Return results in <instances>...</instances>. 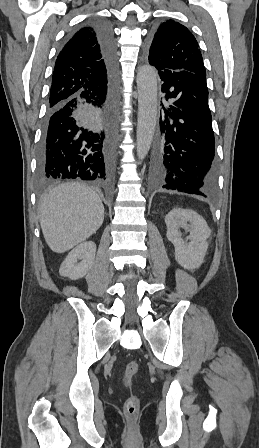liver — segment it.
<instances>
[{
	"label": "liver",
	"instance_id": "1",
	"mask_svg": "<svg viewBox=\"0 0 259 448\" xmlns=\"http://www.w3.org/2000/svg\"><path fill=\"white\" fill-rule=\"evenodd\" d=\"M104 220V206L93 188L60 184L41 198L40 224L52 252L63 254L95 234Z\"/></svg>",
	"mask_w": 259,
	"mask_h": 448
}]
</instances>
